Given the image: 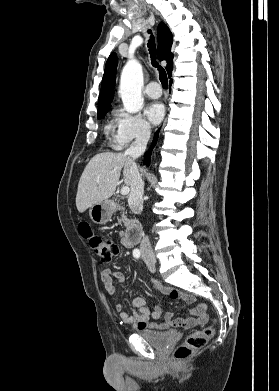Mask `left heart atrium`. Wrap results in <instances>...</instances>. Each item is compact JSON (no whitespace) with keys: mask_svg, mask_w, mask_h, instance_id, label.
I'll list each match as a JSON object with an SVG mask.
<instances>
[{"mask_svg":"<svg viewBox=\"0 0 279 391\" xmlns=\"http://www.w3.org/2000/svg\"><path fill=\"white\" fill-rule=\"evenodd\" d=\"M165 113L164 105L160 102H152L145 109V114L153 124L159 123Z\"/></svg>","mask_w":279,"mask_h":391,"instance_id":"left-heart-atrium-1","label":"left heart atrium"}]
</instances>
